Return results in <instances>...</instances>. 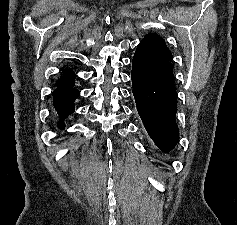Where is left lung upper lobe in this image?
<instances>
[{
    "label": "left lung upper lobe",
    "instance_id": "left-lung-upper-lobe-1",
    "mask_svg": "<svg viewBox=\"0 0 237 225\" xmlns=\"http://www.w3.org/2000/svg\"><path fill=\"white\" fill-rule=\"evenodd\" d=\"M172 55L165 41L157 34H147L137 46L132 74L150 85L174 84Z\"/></svg>",
    "mask_w": 237,
    "mask_h": 225
}]
</instances>
